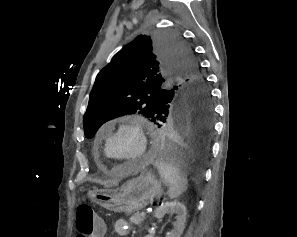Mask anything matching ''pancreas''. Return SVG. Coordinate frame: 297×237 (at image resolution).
I'll list each match as a JSON object with an SVG mask.
<instances>
[{"label": "pancreas", "mask_w": 297, "mask_h": 237, "mask_svg": "<svg viewBox=\"0 0 297 237\" xmlns=\"http://www.w3.org/2000/svg\"><path fill=\"white\" fill-rule=\"evenodd\" d=\"M144 216H142V213L137 212L133 216H131L130 222L132 224L140 225L141 222L144 220Z\"/></svg>", "instance_id": "pancreas-1"}]
</instances>
